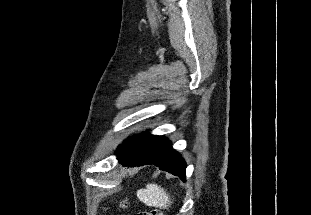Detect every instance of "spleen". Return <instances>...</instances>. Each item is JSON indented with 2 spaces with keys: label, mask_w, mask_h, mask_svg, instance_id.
<instances>
[{
  "label": "spleen",
  "mask_w": 311,
  "mask_h": 215,
  "mask_svg": "<svg viewBox=\"0 0 311 215\" xmlns=\"http://www.w3.org/2000/svg\"><path fill=\"white\" fill-rule=\"evenodd\" d=\"M137 197L148 206L166 209L171 200L166 191L157 184H147L145 189L137 191Z\"/></svg>",
  "instance_id": "spleen-1"
}]
</instances>
